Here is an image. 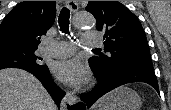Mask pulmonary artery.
<instances>
[{
	"mask_svg": "<svg viewBox=\"0 0 171 110\" xmlns=\"http://www.w3.org/2000/svg\"><path fill=\"white\" fill-rule=\"evenodd\" d=\"M83 44L87 47H99L101 41L98 39V34L94 32H86L82 36ZM45 51L49 56L62 58L71 56L75 52V46L68 41H46Z\"/></svg>",
	"mask_w": 171,
	"mask_h": 110,
	"instance_id": "pulmonary-artery-1",
	"label": "pulmonary artery"
}]
</instances>
